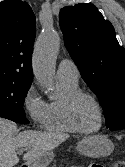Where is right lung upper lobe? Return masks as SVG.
<instances>
[{
	"mask_svg": "<svg viewBox=\"0 0 125 167\" xmlns=\"http://www.w3.org/2000/svg\"><path fill=\"white\" fill-rule=\"evenodd\" d=\"M35 33V16L28 3L0 2V81L31 85Z\"/></svg>",
	"mask_w": 125,
	"mask_h": 167,
	"instance_id": "cb5924a9",
	"label": "right lung upper lobe"
}]
</instances>
